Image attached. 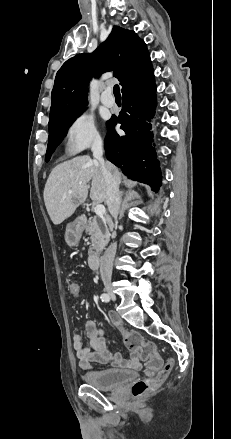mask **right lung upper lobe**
Here are the masks:
<instances>
[{
  "label": "right lung upper lobe",
  "mask_w": 231,
  "mask_h": 439,
  "mask_svg": "<svg viewBox=\"0 0 231 439\" xmlns=\"http://www.w3.org/2000/svg\"><path fill=\"white\" fill-rule=\"evenodd\" d=\"M108 71H114L122 93L153 73L146 44L136 33L114 26L92 54H78L62 65L52 90L49 127L84 111L88 81Z\"/></svg>",
  "instance_id": "right-lung-upper-lobe-1"
}]
</instances>
